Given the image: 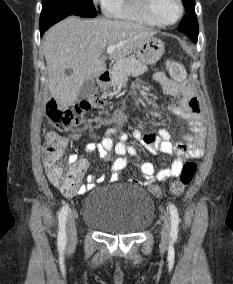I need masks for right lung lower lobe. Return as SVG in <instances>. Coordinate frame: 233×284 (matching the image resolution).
Here are the masks:
<instances>
[{
  "instance_id": "obj_1",
  "label": "right lung lower lobe",
  "mask_w": 233,
  "mask_h": 284,
  "mask_svg": "<svg viewBox=\"0 0 233 284\" xmlns=\"http://www.w3.org/2000/svg\"><path fill=\"white\" fill-rule=\"evenodd\" d=\"M48 28H49V27H45V28H42V29H41V31H40V32H41V36L44 34V32H45Z\"/></svg>"
}]
</instances>
